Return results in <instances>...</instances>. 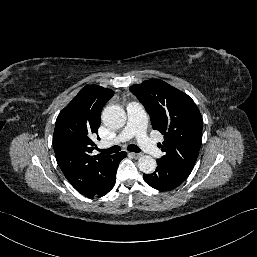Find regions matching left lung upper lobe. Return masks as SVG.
<instances>
[{"label": "left lung upper lobe", "mask_w": 257, "mask_h": 257, "mask_svg": "<svg viewBox=\"0 0 257 257\" xmlns=\"http://www.w3.org/2000/svg\"><path fill=\"white\" fill-rule=\"evenodd\" d=\"M150 115L152 127L164 135L160 160L191 173L202 143L203 120L194 101L182 91L151 79L130 87Z\"/></svg>", "instance_id": "5c2ea615"}]
</instances>
